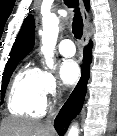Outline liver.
Wrapping results in <instances>:
<instances>
[{
  "mask_svg": "<svg viewBox=\"0 0 117 136\" xmlns=\"http://www.w3.org/2000/svg\"><path fill=\"white\" fill-rule=\"evenodd\" d=\"M3 136H54L48 126L27 119L9 117L2 121Z\"/></svg>",
  "mask_w": 117,
  "mask_h": 136,
  "instance_id": "1",
  "label": "liver"
}]
</instances>
